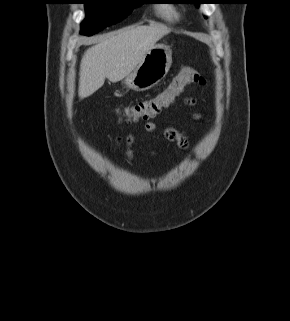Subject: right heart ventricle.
Instances as JSON below:
<instances>
[{"instance_id":"e07e8e85","label":"right heart ventricle","mask_w":290,"mask_h":321,"mask_svg":"<svg viewBox=\"0 0 290 321\" xmlns=\"http://www.w3.org/2000/svg\"><path fill=\"white\" fill-rule=\"evenodd\" d=\"M158 15L169 22H173L178 19V12L170 5L161 6L158 10Z\"/></svg>"}]
</instances>
